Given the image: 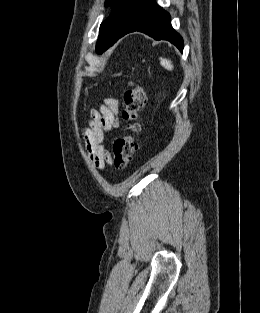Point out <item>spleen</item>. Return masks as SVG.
Returning a JSON list of instances; mask_svg holds the SVG:
<instances>
[{
    "label": "spleen",
    "mask_w": 260,
    "mask_h": 313,
    "mask_svg": "<svg viewBox=\"0 0 260 313\" xmlns=\"http://www.w3.org/2000/svg\"><path fill=\"white\" fill-rule=\"evenodd\" d=\"M160 64L162 67H164L165 69L169 71L173 70L174 68L172 62L168 59L160 58Z\"/></svg>",
    "instance_id": "3e777b00"
}]
</instances>
